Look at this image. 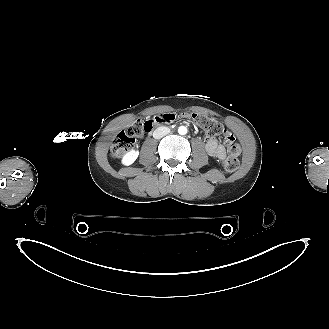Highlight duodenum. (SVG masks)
Wrapping results in <instances>:
<instances>
[{
  "instance_id": "duodenum-1",
  "label": "duodenum",
  "mask_w": 329,
  "mask_h": 329,
  "mask_svg": "<svg viewBox=\"0 0 329 329\" xmlns=\"http://www.w3.org/2000/svg\"><path fill=\"white\" fill-rule=\"evenodd\" d=\"M157 125H159V123H156L155 124V126H157ZM154 129V128H153ZM153 129H151L150 131H149V133H151L152 131H153Z\"/></svg>"
}]
</instances>
